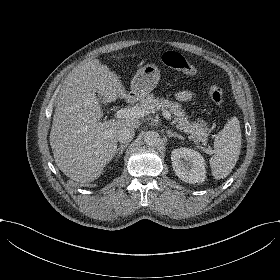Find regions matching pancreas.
I'll return each instance as SVG.
<instances>
[{"label":"pancreas","mask_w":280,"mask_h":280,"mask_svg":"<svg viewBox=\"0 0 280 280\" xmlns=\"http://www.w3.org/2000/svg\"><path fill=\"white\" fill-rule=\"evenodd\" d=\"M140 109L147 112H152L153 110H159L161 108L169 109L170 113L174 115V123L176 128L183 130L185 133L191 134L190 138L199 144L202 142L203 145L207 144V137L209 135L207 123L203 120L198 122L190 123L185 117V112L182 110V105L178 102H172L165 98H155L153 94H149L146 98L142 99L138 104ZM145 114H147L145 112Z\"/></svg>","instance_id":"cf45deb5"}]
</instances>
